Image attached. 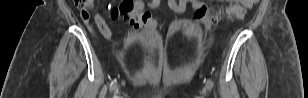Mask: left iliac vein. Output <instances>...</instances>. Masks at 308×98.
Returning <instances> with one entry per match:
<instances>
[{
  "label": "left iliac vein",
  "mask_w": 308,
  "mask_h": 98,
  "mask_svg": "<svg viewBox=\"0 0 308 98\" xmlns=\"http://www.w3.org/2000/svg\"><path fill=\"white\" fill-rule=\"evenodd\" d=\"M206 88H207V86L204 87V89H203V93H204V94L206 93Z\"/></svg>",
  "instance_id": "left-iliac-vein-1"
}]
</instances>
